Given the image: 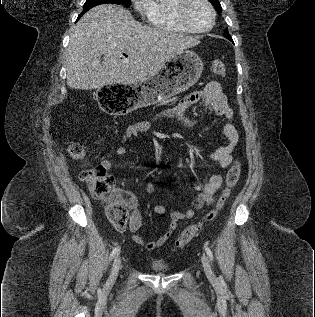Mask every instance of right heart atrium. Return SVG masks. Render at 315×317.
Returning a JSON list of instances; mask_svg holds the SVG:
<instances>
[{
    "mask_svg": "<svg viewBox=\"0 0 315 317\" xmlns=\"http://www.w3.org/2000/svg\"><path fill=\"white\" fill-rule=\"evenodd\" d=\"M150 2L151 0H132V3L137 11L143 14L147 12Z\"/></svg>",
    "mask_w": 315,
    "mask_h": 317,
    "instance_id": "d8ad5b80",
    "label": "right heart atrium"
}]
</instances>
